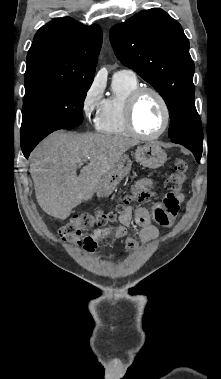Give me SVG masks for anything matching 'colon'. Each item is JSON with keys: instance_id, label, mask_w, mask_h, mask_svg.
<instances>
[{"instance_id": "5ec220e1", "label": "colon", "mask_w": 221, "mask_h": 379, "mask_svg": "<svg viewBox=\"0 0 221 379\" xmlns=\"http://www.w3.org/2000/svg\"><path fill=\"white\" fill-rule=\"evenodd\" d=\"M187 171V164L183 159H176L173 172L170 174L167 186L170 190H182L185 182V174ZM131 200L130 196H126L115 209L104 212L100 211L95 214L83 213L74 216L67 222L60 230V236L63 240L75 244H85L88 236L85 232L94 227H102L113 222L118 215L124 213L125 209Z\"/></svg>"}]
</instances>
